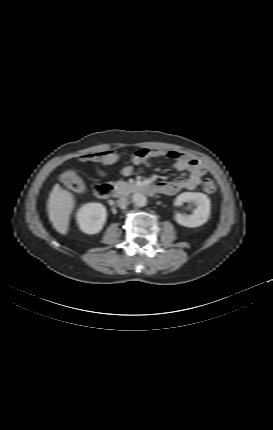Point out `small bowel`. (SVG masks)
Masks as SVG:
<instances>
[{
	"label": "small bowel",
	"instance_id": "c3829d8e",
	"mask_svg": "<svg viewBox=\"0 0 273 430\" xmlns=\"http://www.w3.org/2000/svg\"><path fill=\"white\" fill-rule=\"evenodd\" d=\"M166 156L174 160V167L179 171H187L188 177L177 178L173 181H158L154 183L157 192L165 195H175L181 190H193L201 182L202 176L207 173L206 166L192 156L182 154L175 150L163 149H146L137 150L131 156L132 165L125 166L121 173L124 176H130L133 171V166L150 165L151 161ZM83 162H93L99 166L98 172L103 175L105 172L100 167H106L115 164L120 160V155L114 151H104L99 153H91L83 155L79 158Z\"/></svg>",
	"mask_w": 273,
	"mask_h": 430
}]
</instances>
